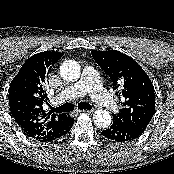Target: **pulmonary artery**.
Wrapping results in <instances>:
<instances>
[{"instance_id": "1", "label": "pulmonary artery", "mask_w": 174, "mask_h": 174, "mask_svg": "<svg viewBox=\"0 0 174 174\" xmlns=\"http://www.w3.org/2000/svg\"><path fill=\"white\" fill-rule=\"evenodd\" d=\"M86 94L104 108L111 111L116 109V104L104 89L98 73L90 66L84 68L79 81L60 92L58 100L74 99Z\"/></svg>"}]
</instances>
